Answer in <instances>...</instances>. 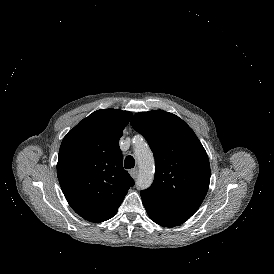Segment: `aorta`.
I'll use <instances>...</instances> for the list:
<instances>
[{
	"instance_id": "obj_1",
	"label": "aorta",
	"mask_w": 274,
	"mask_h": 274,
	"mask_svg": "<svg viewBox=\"0 0 274 274\" xmlns=\"http://www.w3.org/2000/svg\"><path fill=\"white\" fill-rule=\"evenodd\" d=\"M134 152L139 165L136 186L139 189H147L154 179L153 153L148 145L142 142H136Z\"/></svg>"
}]
</instances>
